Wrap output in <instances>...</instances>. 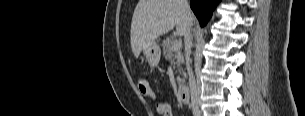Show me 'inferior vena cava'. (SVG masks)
Masks as SVG:
<instances>
[{"mask_svg": "<svg viewBox=\"0 0 305 116\" xmlns=\"http://www.w3.org/2000/svg\"><path fill=\"white\" fill-rule=\"evenodd\" d=\"M184 8L186 10H190L189 4L187 0H184ZM191 21H188L186 24V29L184 33V42H185V52H186V59H187V70H188V76H189V86H190V93H191V107L192 112L194 116H200V109L198 105V90L196 86L195 77L192 71V68L190 66V53H191Z\"/></svg>", "mask_w": 305, "mask_h": 116, "instance_id": "obj_1", "label": "inferior vena cava"}]
</instances>
